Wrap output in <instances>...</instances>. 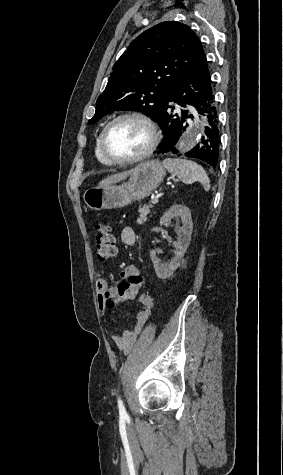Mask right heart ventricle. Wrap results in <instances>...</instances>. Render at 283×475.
Returning a JSON list of instances; mask_svg holds the SVG:
<instances>
[{
    "label": "right heart ventricle",
    "mask_w": 283,
    "mask_h": 475,
    "mask_svg": "<svg viewBox=\"0 0 283 475\" xmlns=\"http://www.w3.org/2000/svg\"><path fill=\"white\" fill-rule=\"evenodd\" d=\"M100 135V134H99ZM99 135L96 137L95 142H94V155L97 159L98 162H107L105 159L101 156L100 150H99Z\"/></svg>",
    "instance_id": "obj_1"
}]
</instances>
